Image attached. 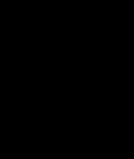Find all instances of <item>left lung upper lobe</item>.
I'll return each mask as SVG.
<instances>
[{
    "label": "left lung upper lobe",
    "mask_w": 134,
    "mask_h": 159,
    "mask_svg": "<svg viewBox=\"0 0 134 159\" xmlns=\"http://www.w3.org/2000/svg\"><path fill=\"white\" fill-rule=\"evenodd\" d=\"M71 107L82 118H101L107 107V96L96 80H84L73 85L70 91Z\"/></svg>",
    "instance_id": "obj_1"
}]
</instances>
